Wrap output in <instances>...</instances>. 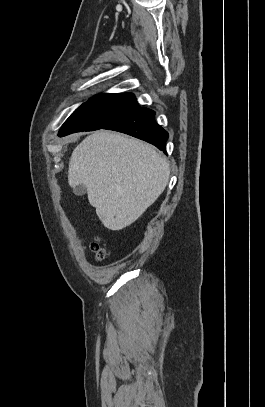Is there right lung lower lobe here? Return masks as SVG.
<instances>
[{
    "mask_svg": "<svg viewBox=\"0 0 265 407\" xmlns=\"http://www.w3.org/2000/svg\"><path fill=\"white\" fill-rule=\"evenodd\" d=\"M154 116L155 112L153 110L138 107L127 115L105 126L103 129L123 132L142 139L166 153L165 144L169 135L167 131L155 122Z\"/></svg>",
    "mask_w": 265,
    "mask_h": 407,
    "instance_id": "98d812e1",
    "label": "right lung lower lobe"
}]
</instances>
